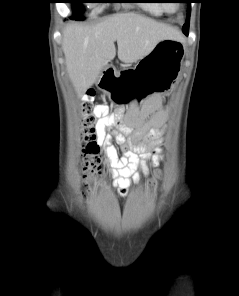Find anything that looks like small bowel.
<instances>
[{"label": "small bowel", "instance_id": "1", "mask_svg": "<svg viewBox=\"0 0 239 296\" xmlns=\"http://www.w3.org/2000/svg\"><path fill=\"white\" fill-rule=\"evenodd\" d=\"M161 97L149 98L140 110L116 108L111 114L105 106H95L97 141L103 146L109 175L120 197H125L132 183L140 179L137 169L148 173L146 159L152 157V164L157 166L162 160L160 149L155 146L160 142L168 112L160 109ZM107 132L120 145L122 155L118 156L115 147L107 140ZM153 151L151 156L150 151Z\"/></svg>", "mask_w": 239, "mask_h": 296}]
</instances>
